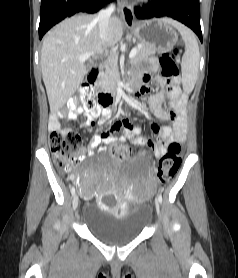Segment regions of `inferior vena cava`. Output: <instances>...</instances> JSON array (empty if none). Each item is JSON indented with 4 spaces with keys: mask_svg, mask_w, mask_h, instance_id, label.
I'll use <instances>...</instances> for the list:
<instances>
[{
    "mask_svg": "<svg viewBox=\"0 0 238 278\" xmlns=\"http://www.w3.org/2000/svg\"><path fill=\"white\" fill-rule=\"evenodd\" d=\"M114 10H115V5L110 4L108 8L99 11L96 17L98 22V27H99V35L103 43L107 39L109 19Z\"/></svg>",
    "mask_w": 238,
    "mask_h": 278,
    "instance_id": "1",
    "label": "inferior vena cava"
}]
</instances>
